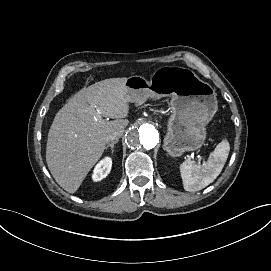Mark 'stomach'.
Instances as JSON below:
<instances>
[{"label": "stomach", "instance_id": "stomach-1", "mask_svg": "<svg viewBox=\"0 0 271 271\" xmlns=\"http://www.w3.org/2000/svg\"><path fill=\"white\" fill-rule=\"evenodd\" d=\"M130 101H143L150 95H171L172 113L166 123L163 149L176 158L199 150L207 138V125L218 110L217 94L206 82L184 68L157 70L150 82L140 76L127 81Z\"/></svg>", "mask_w": 271, "mask_h": 271}]
</instances>
